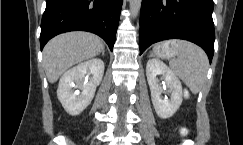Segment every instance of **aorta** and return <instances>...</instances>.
Wrapping results in <instances>:
<instances>
[{"label":"aorta","instance_id":"762f6f07","mask_svg":"<svg viewBox=\"0 0 243 145\" xmlns=\"http://www.w3.org/2000/svg\"><path fill=\"white\" fill-rule=\"evenodd\" d=\"M142 0H129L130 11L133 17H136L141 8Z\"/></svg>","mask_w":243,"mask_h":145}]
</instances>
